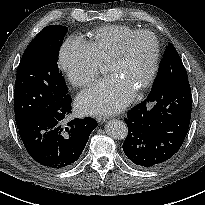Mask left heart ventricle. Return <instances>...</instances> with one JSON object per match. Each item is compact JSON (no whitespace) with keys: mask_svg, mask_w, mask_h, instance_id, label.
<instances>
[{"mask_svg":"<svg viewBox=\"0 0 205 205\" xmlns=\"http://www.w3.org/2000/svg\"><path fill=\"white\" fill-rule=\"evenodd\" d=\"M154 55V43L149 36L135 38L129 45L124 59L107 65V71L119 77L136 91L146 80Z\"/></svg>","mask_w":205,"mask_h":205,"instance_id":"1","label":"left heart ventricle"}]
</instances>
